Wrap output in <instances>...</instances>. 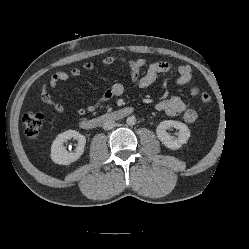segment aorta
<instances>
[{"label":"aorta","instance_id":"obj_1","mask_svg":"<svg viewBox=\"0 0 249 249\" xmlns=\"http://www.w3.org/2000/svg\"><path fill=\"white\" fill-rule=\"evenodd\" d=\"M127 123L129 125H134L136 123V118L134 116H130L127 118Z\"/></svg>","mask_w":249,"mask_h":249}]
</instances>
